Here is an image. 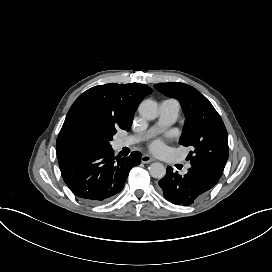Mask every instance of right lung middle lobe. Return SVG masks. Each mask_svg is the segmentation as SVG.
Wrapping results in <instances>:
<instances>
[{
    "label": "right lung middle lobe",
    "instance_id": "1",
    "mask_svg": "<svg viewBox=\"0 0 272 272\" xmlns=\"http://www.w3.org/2000/svg\"><path fill=\"white\" fill-rule=\"evenodd\" d=\"M112 140V137H107L103 139L102 141L94 143L90 149H101V148H110L111 145L109 144V141Z\"/></svg>",
    "mask_w": 272,
    "mask_h": 272
}]
</instances>
